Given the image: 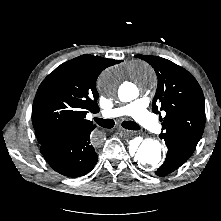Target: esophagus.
<instances>
[{
    "label": "esophagus",
    "instance_id": "esophagus-1",
    "mask_svg": "<svg viewBox=\"0 0 221 221\" xmlns=\"http://www.w3.org/2000/svg\"><path fill=\"white\" fill-rule=\"evenodd\" d=\"M120 130H121L125 135H132V134H133V131H130V130H126V129H123V128H120Z\"/></svg>",
    "mask_w": 221,
    "mask_h": 221
}]
</instances>
